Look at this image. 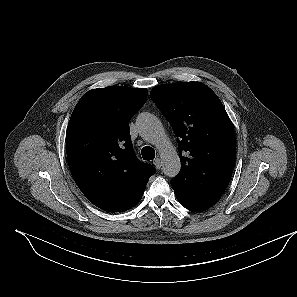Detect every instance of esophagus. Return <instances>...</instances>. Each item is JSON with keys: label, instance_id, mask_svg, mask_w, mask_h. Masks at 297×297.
Here are the masks:
<instances>
[{"label": "esophagus", "instance_id": "1", "mask_svg": "<svg viewBox=\"0 0 297 297\" xmlns=\"http://www.w3.org/2000/svg\"><path fill=\"white\" fill-rule=\"evenodd\" d=\"M153 164L155 165V167H156L157 169H160L161 166H162V161H161L160 158H156V159L153 161Z\"/></svg>", "mask_w": 297, "mask_h": 297}]
</instances>
